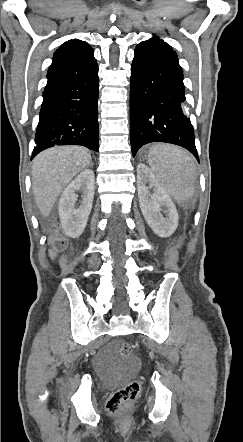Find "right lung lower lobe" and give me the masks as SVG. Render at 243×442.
Returning a JSON list of instances; mask_svg holds the SVG:
<instances>
[{
  "instance_id": "1",
  "label": "right lung lower lobe",
  "mask_w": 243,
  "mask_h": 442,
  "mask_svg": "<svg viewBox=\"0 0 243 442\" xmlns=\"http://www.w3.org/2000/svg\"><path fill=\"white\" fill-rule=\"evenodd\" d=\"M39 113L32 158L55 145L98 143V65L93 50L52 64Z\"/></svg>"
}]
</instances>
